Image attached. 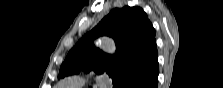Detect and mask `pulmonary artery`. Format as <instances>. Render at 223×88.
I'll return each mask as SVG.
<instances>
[{"mask_svg": "<svg viewBox=\"0 0 223 88\" xmlns=\"http://www.w3.org/2000/svg\"><path fill=\"white\" fill-rule=\"evenodd\" d=\"M98 84L103 88H108L110 86L109 79L100 75L97 77ZM85 79L80 75L70 76L59 83L61 87H80L84 84Z\"/></svg>", "mask_w": 223, "mask_h": 88, "instance_id": "e3ab8cb5", "label": "pulmonary artery"}]
</instances>
